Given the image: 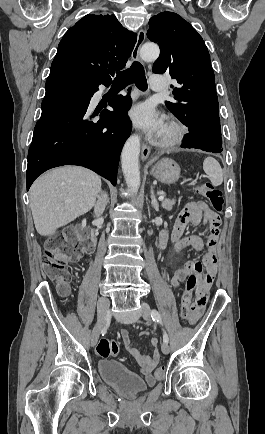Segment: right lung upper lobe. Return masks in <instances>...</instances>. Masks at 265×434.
Wrapping results in <instances>:
<instances>
[{"mask_svg":"<svg viewBox=\"0 0 265 434\" xmlns=\"http://www.w3.org/2000/svg\"><path fill=\"white\" fill-rule=\"evenodd\" d=\"M136 36L125 29L114 14L86 15L63 36L50 74L114 76L131 56Z\"/></svg>","mask_w":265,"mask_h":434,"instance_id":"1","label":"right lung upper lobe"}]
</instances>
